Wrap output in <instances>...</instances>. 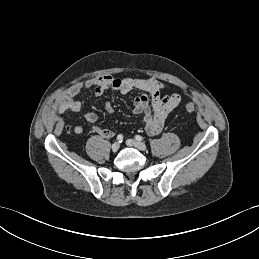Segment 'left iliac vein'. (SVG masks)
<instances>
[{"instance_id":"1","label":"left iliac vein","mask_w":259,"mask_h":259,"mask_svg":"<svg viewBox=\"0 0 259 259\" xmlns=\"http://www.w3.org/2000/svg\"><path fill=\"white\" fill-rule=\"evenodd\" d=\"M126 144L129 146V147H135L137 148L138 150H141V151H145L146 150V145L142 142H139V141H135L133 139H128L126 140Z\"/></svg>"}]
</instances>
